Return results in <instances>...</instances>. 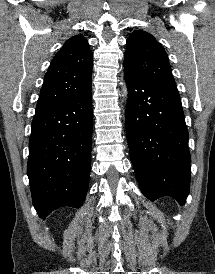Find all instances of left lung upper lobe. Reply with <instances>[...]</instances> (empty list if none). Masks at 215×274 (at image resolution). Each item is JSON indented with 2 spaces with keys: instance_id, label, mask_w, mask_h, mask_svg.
Wrapping results in <instances>:
<instances>
[{
  "instance_id": "left-lung-upper-lobe-1",
  "label": "left lung upper lobe",
  "mask_w": 215,
  "mask_h": 274,
  "mask_svg": "<svg viewBox=\"0 0 215 274\" xmlns=\"http://www.w3.org/2000/svg\"><path fill=\"white\" fill-rule=\"evenodd\" d=\"M124 71L177 90L168 56L149 33L136 30L127 39Z\"/></svg>"
}]
</instances>
